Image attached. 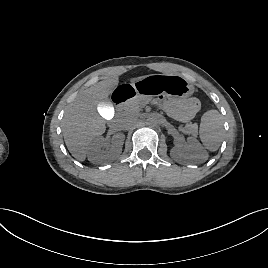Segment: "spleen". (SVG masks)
<instances>
[{"label": "spleen", "instance_id": "3e777b00", "mask_svg": "<svg viewBox=\"0 0 268 268\" xmlns=\"http://www.w3.org/2000/svg\"><path fill=\"white\" fill-rule=\"evenodd\" d=\"M223 119L217 110H209L203 114L200 123V139L209 151H216L223 137Z\"/></svg>", "mask_w": 268, "mask_h": 268}]
</instances>
